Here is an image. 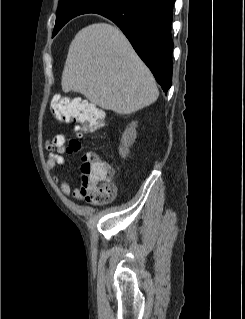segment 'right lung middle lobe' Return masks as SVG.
Returning a JSON list of instances; mask_svg holds the SVG:
<instances>
[{
    "label": "right lung middle lobe",
    "mask_w": 245,
    "mask_h": 319,
    "mask_svg": "<svg viewBox=\"0 0 245 319\" xmlns=\"http://www.w3.org/2000/svg\"><path fill=\"white\" fill-rule=\"evenodd\" d=\"M124 0H83L81 6L84 10L91 13H99L108 8L114 7ZM67 1H62L58 3V10L56 15V24L54 27L53 35H55L60 29L61 26H57V21L62 19L65 15L64 7Z\"/></svg>",
    "instance_id": "dd1d6c3e"
}]
</instances>
